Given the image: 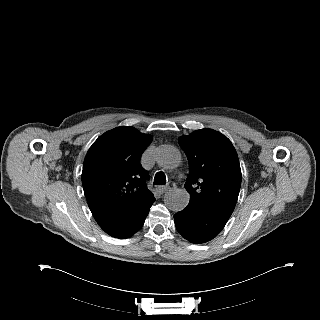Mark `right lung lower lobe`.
Masks as SVG:
<instances>
[{"label": "right lung lower lobe", "mask_w": 320, "mask_h": 320, "mask_svg": "<svg viewBox=\"0 0 320 320\" xmlns=\"http://www.w3.org/2000/svg\"><path fill=\"white\" fill-rule=\"evenodd\" d=\"M152 204L153 203L128 215L103 221L99 223V225L112 237L128 238L141 229Z\"/></svg>", "instance_id": "right-lung-lower-lobe-1"}]
</instances>
